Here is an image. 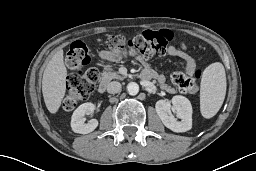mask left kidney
I'll return each instance as SVG.
<instances>
[{
	"instance_id": "1",
	"label": "left kidney",
	"mask_w": 256,
	"mask_h": 171,
	"mask_svg": "<svg viewBox=\"0 0 256 171\" xmlns=\"http://www.w3.org/2000/svg\"><path fill=\"white\" fill-rule=\"evenodd\" d=\"M171 104L176 113L171 114ZM156 112L162 123L173 132H186L192 127V106L190 101L181 95H176L172 98L171 103L166 100H159L155 104Z\"/></svg>"
}]
</instances>
